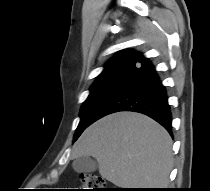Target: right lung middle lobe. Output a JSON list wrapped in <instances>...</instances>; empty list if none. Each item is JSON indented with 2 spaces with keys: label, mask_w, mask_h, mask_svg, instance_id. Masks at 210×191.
<instances>
[{
  "label": "right lung middle lobe",
  "mask_w": 210,
  "mask_h": 191,
  "mask_svg": "<svg viewBox=\"0 0 210 191\" xmlns=\"http://www.w3.org/2000/svg\"><path fill=\"white\" fill-rule=\"evenodd\" d=\"M130 59L131 57L129 56L113 58L106 64L103 72L96 78L88 98L81 107V120L75 131L74 141H76L81 133L95 121L97 109L123 73Z\"/></svg>",
  "instance_id": "dd1d6c3e"
}]
</instances>
